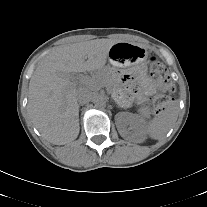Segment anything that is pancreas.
Instances as JSON below:
<instances>
[{
    "instance_id": "pancreas-1",
    "label": "pancreas",
    "mask_w": 207,
    "mask_h": 207,
    "mask_svg": "<svg viewBox=\"0 0 207 207\" xmlns=\"http://www.w3.org/2000/svg\"><path fill=\"white\" fill-rule=\"evenodd\" d=\"M91 81L93 82V85L90 87L93 90H97L101 86H105L107 87L108 90L115 91L114 89L115 83L113 82L112 78L106 72H103V71L96 72L94 77L91 79ZM139 112L140 114L144 116L150 115L149 109L146 107L140 108Z\"/></svg>"
}]
</instances>
